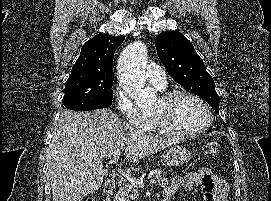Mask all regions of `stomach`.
I'll return each mask as SVG.
<instances>
[{
	"mask_svg": "<svg viewBox=\"0 0 271 201\" xmlns=\"http://www.w3.org/2000/svg\"><path fill=\"white\" fill-rule=\"evenodd\" d=\"M165 165L175 167L185 164L191 158V152L183 146L169 148L163 155Z\"/></svg>",
	"mask_w": 271,
	"mask_h": 201,
	"instance_id": "stomach-1",
	"label": "stomach"
}]
</instances>
